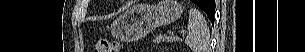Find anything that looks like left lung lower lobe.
I'll list each match as a JSON object with an SVG mask.
<instances>
[{"mask_svg":"<svg viewBox=\"0 0 305 52\" xmlns=\"http://www.w3.org/2000/svg\"><path fill=\"white\" fill-rule=\"evenodd\" d=\"M192 2L195 3L194 0H192ZM200 8L205 11L212 24H214L215 0H206L204 6Z\"/></svg>","mask_w":305,"mask_h":52,"instance_id":"obj_1","label":"left lung lower lobe"}]
</instances>
